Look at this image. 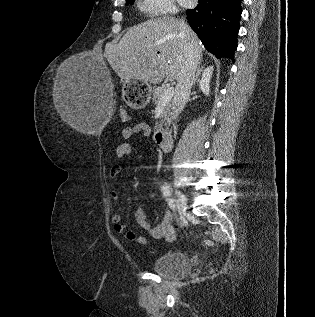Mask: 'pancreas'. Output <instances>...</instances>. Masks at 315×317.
Returning a JSON list of instances; mask_svg holds the SVG:
<instances>
[{"label": "pancreas", "instance_id": "1", "mask_svg": "<svg viewBox=\"0 0 315 317\" xmlns=\"http://www.w3.org/2000/svg\"><path fill=\"white\" fill-rule=\"evenodd\" d=\"M165 89H167L166 86L155 88L153 93V98H152L155 105H159L162 102L161 98L163 95V91ZM170 109H171V99L165 102L163 113H162V118H163L162 122L168 120V117L170 115Z\"/></svg>", "mask_w": 315, "mask_h": 317}]
</instances>
